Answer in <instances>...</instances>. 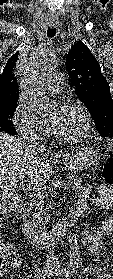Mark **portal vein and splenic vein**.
Returning a JSON list of instances; mask_svg holds the SVG:
<instances>
[{
    "instance_id": "18ae733b",
    "label": "portal vein and splenic vein",
    "mask_w": 113,
    "mask_h": 279,
    "mask_svg": "<svg viewBox=\"0 0 113 279\" xmlns=\"http://www.w3.org/2000/svg\"><path fill=\"white\" fill-rule=\"evenodd\" d=\"M19 177L20 180H23L25 176L23 174H20ZM29 188L34 192V195L39 194L41 191V189H36L34 186H29Z\"/></svg>"
}]
</instances>
